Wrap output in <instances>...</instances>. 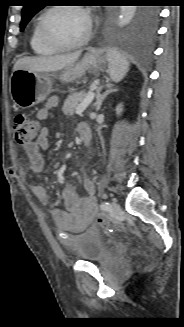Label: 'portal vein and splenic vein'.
<instances>
[{
	"mask_svg": "<svg viewBox=\"0 0 184 327\" xmlns=\"http://www.w3.org/2000/svg\"><path fill=\"white\" fill-rule=\"evenodd\" d=\"M95 94L93 92L89 93L81 102L79 107L76 109V114H81L93 101Z\"/></svg>",
	"mask_w": 184,
	"mask_h": 327,
	"instance_id": "1",
	"label": "portal vein and splenic vein"
}]
</instances>
